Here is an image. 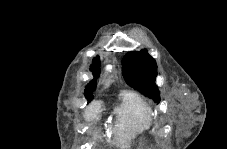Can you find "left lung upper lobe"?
Listing matches in <instances>:
<instances>
[{"label": "left lung upper lobe", "instance_id": "obj_1", "mask_svg": "<svg viewBox=\"0 0 227 149\" xmlns=\"http://www.w3.org/2000/svg\"><path fill=\"white\" fill-rule=\"evenodd\" d=\"M122 65V73L126 83L159 103L160 92L155 84L157 65L147 50L127 53L123 58Z\"/></svg>", "mask_w": 227, "mask_h": 149}]
</instances>
